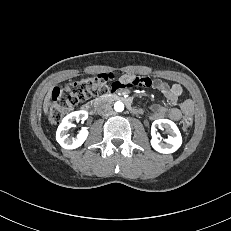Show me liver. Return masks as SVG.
I'll return each instance as SVG.
<instances>
[{"mask_svg": "<svg viewBox=\"0 0 231 231\" xmlns=\"http://www.w3.org/2000/svg\"><path fill=\"white\" fill-rule=\"evenodd\" d=\"M51 89L52 88H50V90L48 91V93L44 99V103H43V111L45 114L48 113L49 101H50V97H51Z\"/></svg>", "mask_w": 231, "mask_h": 231, "instance_id": "1", "label": "liver"}]
</instances>
